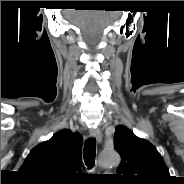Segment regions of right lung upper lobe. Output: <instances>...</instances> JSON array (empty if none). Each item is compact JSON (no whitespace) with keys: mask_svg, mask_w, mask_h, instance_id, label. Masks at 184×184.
<instances>
[{"mask_svg":"<svg viewBox=\"0 0 184 184\" xmlns=\"http://www.w3.org/2000/svg\"><path fill=\"white\" fill-rule=\"evenodd\" d=\"M82 138L63 129L34 147L19 172L31 182L65 184L81 167Z\"/></svg>","mask_w":184,"mask_h":184,"instance_id":"1","label":"right lung upper lobe"}]
</instances>
